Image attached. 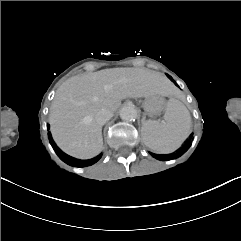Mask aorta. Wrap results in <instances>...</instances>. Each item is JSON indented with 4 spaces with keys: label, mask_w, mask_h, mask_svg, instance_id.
<instances>
[{
    "label": "aorta",
    "mask_w": 241,
    "mask_h": 241,
    "mask_svg": "<svg viewBox=\"0 0 241 241\" xmlns=\"http://www.w3.org/2000/svg\"><path fill=\"white\" fill-rule=\"evenodd\" d=\"M120 118L125 122L135 121L137 118V110L132 105H126L120 110Z\"/></svg>",
    "instance_id": "762f6f07"
}]
</instances>
